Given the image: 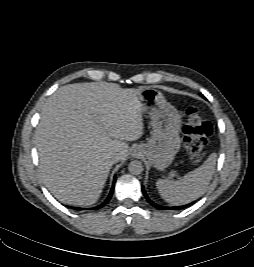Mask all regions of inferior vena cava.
<instances>
[{
	"label": "inferior vena cava",
	"mask_w": 254,
	"mask_h": 267,
	"mask_svg": "<svg viewBox=\"0 0 254 267\" xmlns=\"http://www.w3.org/2000/svg\"><path fill=\"white\" fill-rule=\"evenodd\" d=\"M118 156L119 154L117 153L116 156L113 158L114 162H117L119 160Z\"/></svg>",
	"instance_id": "inferior-vena-cava-1"
}]
</instances>
